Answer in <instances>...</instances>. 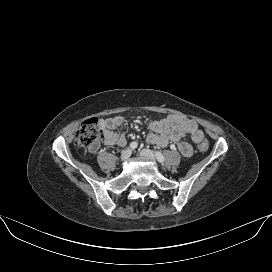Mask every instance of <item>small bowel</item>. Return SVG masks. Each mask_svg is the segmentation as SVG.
<instances>
[{
    "label": "small bowel",
    "instance_id": "obj_1",
    "mask_svg": "<svg viewBox=\"0 0 272 272\" xmlns=\"http://www.w3.org/2000/svg\"><path fill=\"white\" fill-rule=\"evenodd\" d=\"M123 122L124 118L120 115L98 121L100 128L103 130L105 145L122 147L127 143L125 135L116 132V129ZM149 127L151 133L147 138L148 143L161 147L171 142L175 143L180 153L187 158L192 155L193 149L186 138L189 137L195 144L200 143L204 139V134L199 129L197 123L180 115H169L160 120H152L149 122ZM99 146V142L94 143L89 147V150L95 152Z\"/></svg>",
    "mask_w": 272,
    "mask_h": 272
}]
</instances>
